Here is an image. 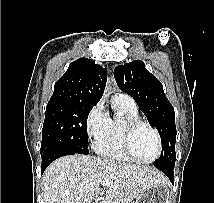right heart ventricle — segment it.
Returning a JSON list of instances; mask_svg holds the SVG:
<instances>
[{
  "label": "right heart ventricle",
  "mask_w": 214,
  "mask_h": 203,
  "mask_svg": "<svg viewBox=\"0 0 214 203\" xmlns=\"http://www.w3.org/2000/svg\"><path fill=\"white\" fill-rule=\"evenodd\" d=\"M115 108L122 114L121 118L110 119L106 131L99 137L94 148L96 152L108 159L130 162L122 144V132L126 122L139 119L137 107H132L122 99L114 97Z\"/></svg>",
  "instance_id": "1"
}]
</instances>
